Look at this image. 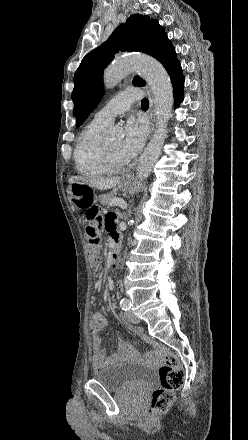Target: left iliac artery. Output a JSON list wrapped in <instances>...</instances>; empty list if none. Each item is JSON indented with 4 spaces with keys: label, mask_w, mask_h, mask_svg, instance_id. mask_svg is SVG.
Wrapping results in <instances>:
<instances>
[{
    "label": "left iliac artery",
    "mask_w": 248,
    "mask_h": 440,
    "mask_svg": "<svg viewBox=\"0 0 248 440\" xmlns=\"http://www.w3.org/2000/svg\"><path fill=\"white\" fill-rule=\"evenodd\" d=\"M120 307L122 308V310L127 311L131 308V302L128 299L123 298L120 301Z\"/></svg>",
    "instance_id": "44dca946"
}]
</instances>
